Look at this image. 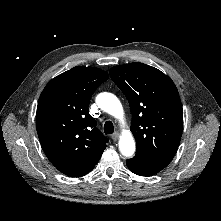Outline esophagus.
<instances>
[{"mask_svg": "<svg viewBox=\"0 0 221 221\" xmlns=\"http://www.w3.org/2000/svg\"><path fill=\"white\" fill-rule=\"evenodd\" d=\"M111 137H112L113 141H117L119 138V132H114Z\"/></svg>", "mask_w": 221, "mask_h": 221, "instance_id": "esophagus-1", "label": "esophagus"}]
</instances>
